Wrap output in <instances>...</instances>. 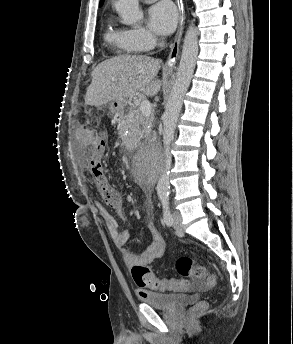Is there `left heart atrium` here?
<instances>
[{
	"label": "left heart atrium",
	"instance_id": "left-heart-atrium-1",
	"mask_svg": "<svg viewBox=\"0 0 293 344\" xmlns=\"http://www.w3.org/2000/svg\"><path fill=\"white\" fill-rule=\"evenodd\" d=\"M147 21L149 27L161 35L170 34L177 23V13L168 1H161L148 10Z\"/></svg>",
	"mask_w": 293,
	"mask_h": 344
}]
</instances>
